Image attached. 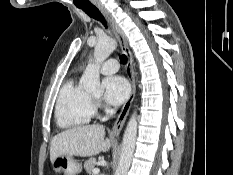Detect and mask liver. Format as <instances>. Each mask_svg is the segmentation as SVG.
Returning a JSON list of instances; mask_svg holds the SVG:
<instances>
[{
	"label": "liver",
	"instance_id": "1",
	"mask_svg": "<svg viewBox=\"0 0 233 175\" xmlns=\"http://www.w3.org/2000/svg\"><path fill=\"white\" fill-rule=\"evenodd\" d=\"M105 138L103 125L77 126L65 130L51 141L50 160L61 155L88 157L107 152L111 148L110 139Z\"/></svg>",
	"mask_w": 233,
	"mask_h": 175
}]
</instances>
